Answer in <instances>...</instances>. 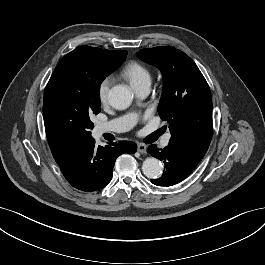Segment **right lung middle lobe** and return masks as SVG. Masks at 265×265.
Segmentation results:
<instances>
[{
  "instance_id": "dd1d6c3e",
  "label": "right lung middle lobe",
  "mask_w": 265,
  "mask_h": 265,
  "mask_svg": "<svg viewBox=\"0 0 265 265\" xmlns=\"http://www.w3.org/2000/svg\"><path fill=\"white\" fill-rule=\"evenodd\" d=\"M127 51L80 46L63 57L44 93L43 115L53 153L75 148L91 137L90 117L100 109V85L126 59Z\"/></svg>"
}]
</instances>
